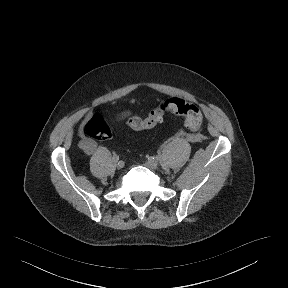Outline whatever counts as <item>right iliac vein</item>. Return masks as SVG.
<instances>
[{
    "mask_svg": "<svg viewBox=\"0 0 288 288\" xmlns=\"http://www.w3.org/2000/svg\"><path fill=\"white\" fill-rule=\"evenodd\" d=\"M113 162L118 169H121L124 166L123 162H118L116 160H113Z\"/></svg>",
    "mask_w": 288,
    "mask_h": 288,
    "instance_id": "right-iliac-vein-1",
    "label": "right iliac vein"
}]
</instances>
